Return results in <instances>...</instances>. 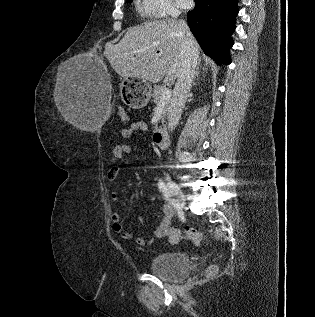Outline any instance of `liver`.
<instances>
[{
    "label": "liver",
    "instance_id": "1",
    "mask_svg": "<svg viewBox=\"0 0 315 317\" xmlns=\"http://www.w3.org/2000/svg\"><path fill=\"white\" fill-rule=\"evenodd\" d=\"M185 34L199 57V46L189 28ZM182 39L179 21L156 20L130 29L117 45H106L104 55L123 78L173 81L182 69Z\"/></svg>",
    "mask_w": 315,
    "mask_h": 317
}]
</instances>
